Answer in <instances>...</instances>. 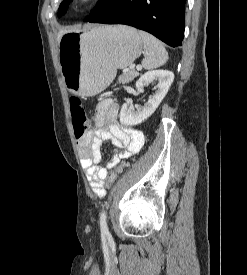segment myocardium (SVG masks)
Returning <instances> with one entry per match:
<instances>
[{
    "label": "myocardium",
    "instance_id": "1",
    "mask_svg": "<svg viewBox=\"0 0 247 275\" xmlns=\"http://www.w3.org/2000/svg\"><path fill=\"white\" fill-rule=\"evenodd\" d=\"M99 0H73L74 4L79 8H88L96 4Z\"/></svg>",
    "mask_w": 247,
    "mask_h": 275
}]
</instances>
